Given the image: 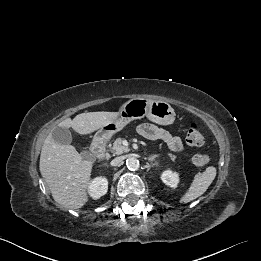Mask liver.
Segmentation results:
<instances>
[{
	"label": "liver",
	"mask_w": 261,
	"mask_h": 261,
	"mask_svg": "<svg viewBox=\"0 0 261 261\" xmlns=\"http://www.w3.org/2000/svg\"><path fill=\"white\" fill-rule=\"evenodd\" d=\"M119 116V112H88L67 118L59 127L72 128L81 135L102 129ZM93 160L83 159L74 146L58 144L49 133L41 149L39 168L54 200L60 205L79 209L88 201L87 189Z\"/></svg>",
	"instance_id": "obj_1"
}]
</instances>
